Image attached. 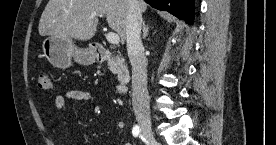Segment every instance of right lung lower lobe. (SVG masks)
Instances as JSON below:
<instances>
[{
  "instance_id": "98d812e1",
  "label": "right lung lower lobe",
  "mask_w": 276,
  "mask_h": 145,
  "mask_svg": "<svg viewBox=\"0 0 276 145\" xmlns=\"http://www.w3.org/2000/svg\"><path fill=\"white\" fill-rule=\"evenodd\" d=\"M152 7L168 11L187 24H193L194 0H144Z\"/></svg>"
}]
</instances>
